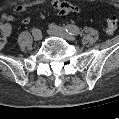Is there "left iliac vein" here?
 <instances>
[{"mask_svg":"<svg viewBox=\"0 0 119 119\" xmlns=\"http://www.w3.org/2000/svg\"><path fill=\"white\" fill-rule=\"evenodd\" d=\"M48 33L52 36H57V37H61L64 38L66 40L69 41H73L75 40L74 36L69 34L68 32L62 31L60 29H56V28H49Z\"/></svg>","mask_w":119,"mask_h":119,"instance_id":"obj_1","label":"left iliac vein"}]
</instances>
